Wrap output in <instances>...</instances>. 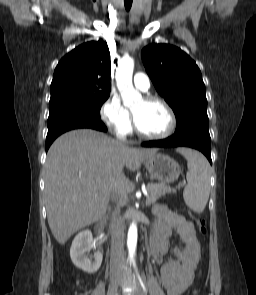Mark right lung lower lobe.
I'll use <instances>...</instances> for the list:
<instances>
[{"label":"right lung lower lobe","instance_id":"obj_1","mask_svg":"<svg viewBox=\"0 0 256 295\" xmlns=\"http://www.w3.org/2000/svg\"><path fill=\"white\" fill-rule=\"evenodd\" d=\"M78 128H91L99 131H107L106 126L99 118H60L48 122V134L46 138V152L52 142L62 133Z\"/></svg>","mask_w":256,"mask_h":295}]
</instances>
